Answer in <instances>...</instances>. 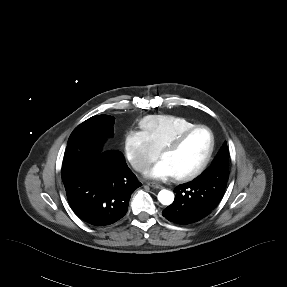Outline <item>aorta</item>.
<instances>
[{"instance_id": "obj_1", "label": "aorta", "mask_w": 287, "mask_h": 287, "mask_svg": "<svg viewBox=\"0 0 287 287\" xmlns=\"http://www.w3.org/2000/svg\"><path fill=\"white\" fill-rule=\"evenodd\" d=\"M158 200L162 205H170L174 201V194L172 191L163 189L158 193Z\"/></svg>"}]
</instances>
